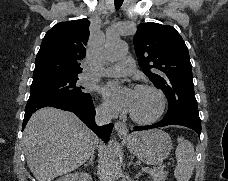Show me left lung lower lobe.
<instances>
[{"mask_svg": "<svg viewBox=\"0 0 228 181\" xmlns=\"http://www.w3.org/2000/svg\"><path fill=\"white\" fill-rule=\"evenodd\" d=\"M167 125H182V126H186V127H189L191 129H193L200 136L201 126L184 125V124H169V123H164L162 121H160L158 123H155V124H152V125H148V126H136V127H134V131L147 130V129L163 127V126H167Z\"/></svg>", "mask_w": 228, "mask_h": 181, "instance_id": "left-lung-lower-lobe-1", "label": "left lung lower lobe"}]
</instances>
